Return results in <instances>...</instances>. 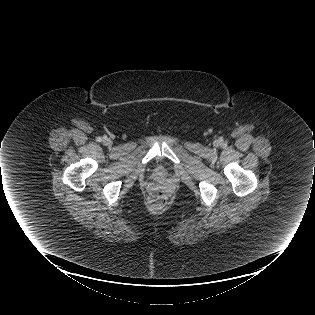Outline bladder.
<instances>
[{
  "instance_id": "bladder-1",
  "label": "bladder",
  "mask_w": 315,
  "mask_h": 315,
  "mask_svg": "<svg viewBox=\"0 0 315 315\" xmlns=\"http://www.w3.org/2000/svg\"><path fill=\"white\" fill-rule=\"evenodd\" d=\"M158 173L162 174V173H163V170H159Z\"/></svg>"
}]
</instances>
